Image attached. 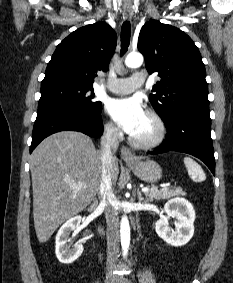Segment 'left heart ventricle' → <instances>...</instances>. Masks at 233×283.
Masks as SVG:
<instances>
[{"mask_svg": "<svg viewBox=\"0 0 233 283\" xmlns=\"http://www.w3.org/2000/svg\"><path fill=\"white\" fill-rule=\"evenodd\" d=\"M157 127L155 122L147 114L143 117L135 131L131 134L139 140H149L155 136Z\"/></svg>", "mask_w": 233, "mask_h": 283, "instance_id": "1", "label": "left heart ventricle"}]
</instances>
